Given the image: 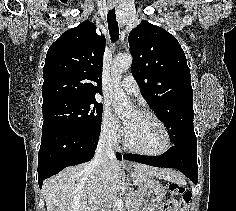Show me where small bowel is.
<instances>
[{
  "mask_svg": "<svg viewBox=\"0 0 236 211\" xmlns=\"http://www.w3.org/2000/svg\"><path fill=\"white\" fill-rule=\"evenodd\" d=\"M159 211H163V209H160ZM179 211H188V208L186 205H182V207L179 209Z\"/></svg>",
  "mask_w": 236,
  "mask_h": 211,
  "instance_id": "c3829d8e",
  "label": "small bowel"
}]
</instances>
